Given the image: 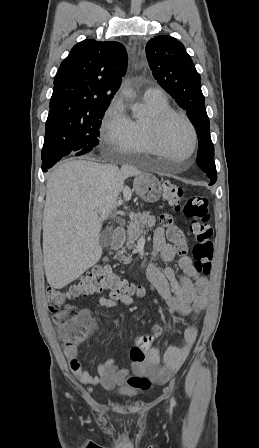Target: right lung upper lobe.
Listing matches in <instances>:
<instances>
[{
    "label": "right lung upper lobe",
    "mask_w": 259,
    "mask_h": 448,
    "mask_svg": "<svg viewBox=\"0 0 259 448\" xmlns=\"http://www.w3.org/2000/svg\"><path fill=\"white\" fill-rule=\"evenodd\" d=\"M127 69L124 46L87 39L76 44L54 79L49 113L108 107Z\"/></svg>",
    "instance_id": "1"
}]
</instances>
